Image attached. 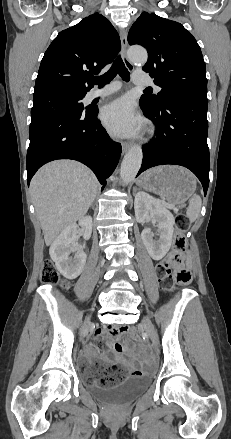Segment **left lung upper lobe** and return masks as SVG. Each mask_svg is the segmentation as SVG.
<instances>
[{
  "instance_id": "obj_1",
  "label": "left lung upper lobe",
  "mask_w": 231,
  "mask_h": 439,
  "mask_svg": "<svg viewBox=\"0 0 231 439\" xmlns=\"http://www.w3.org/2000/svg\"><path fill=\"white\" fill-rule=\"evenodd\" d=\"M128 42L147 49L148 61L142 69L162 88L157 95H142L144 103L155 107L164 98L180 92L207 95L201 49L183 25L143 12L132 25Z\"/></svg>"
}]
</instances>
